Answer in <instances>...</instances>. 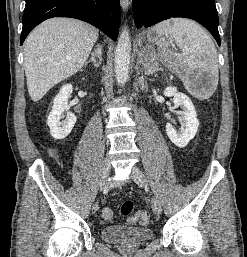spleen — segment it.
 <instances>
[{"label": "spleen", "instance_id": "1", "mask_svg": "<svg viewBox=\"0 0 247 257\" xmlns=\"http://www.w3.org/2000/svg\"><path fill=\"white\" fill-rule=\"evenodd\" d=\"M156 35H169L182 49L186 65L187 78L184 81L190 89L191 81L203 73H209V87L199 94L202 99L209 98L218 85V55L211 37L194 21L184 18H174L163 21L152 28Z\"/></svg>", "mask_w": 247, "mask_h": 257}]
</instances>
